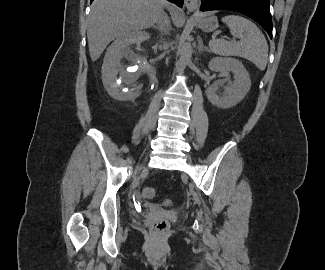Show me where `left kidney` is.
<instances>
[{
    "label": "left kidney",
    "instance_id": "5707ae66",
    "mask_svg": "<svg viewBox=\"0 0 325 270\" xmlns=\"http://www.w3.org/2000/svg\"><path fill=\"white\" fill-rule=\"evenodd\" d=\"M212 71L234 75V81L225 87L222 96L216 94L217 87L213 86L206 91L209 101L218 108L227 109L235 106L244 99L251 87L249 74L243 64L234 58H212L208 64Z\"/></svg>",
    "mask_w": 325,
    "mask_h": 270
}]
</instances>
